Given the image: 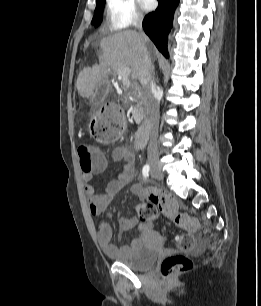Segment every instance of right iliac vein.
<instances>
[{"label": "right iliac vein", "mask_w": 261, "mask_h": 306, "mask_svg": "<svg viewBox=\"0 0 261 306\" xmlns=\"http://www.w3.org/2000/svg\"><path fill=\"white\" fill-rule=\"evenodd\" d=\"M151 173L158 180H162L164 178L163 172L155 163L151 164Z\"/></svg>", "instance_id": "obj_1"}]
</instances>
